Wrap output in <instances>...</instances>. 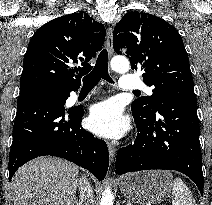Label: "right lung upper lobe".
I'll return each mask as SVG.
<instances>
[{
    "instance_id": "1",
    "label": "right lung upper lobe",
    "mask_w": 212,
    "mask_h": 205,
    "mask_svg": "<svg viewBox=\"0 0 212 205\" xmlns=\"http://www.w3.org/2000/svg\"><path fill=\"white\" fill-rule=\"evenodd\" d=\"M105 28L85 13L49 21L32 36L23 61L20 94L41 87H80L105 39ZM74 65H78L75 67Z\"/></svg>"
}]
</instances>
